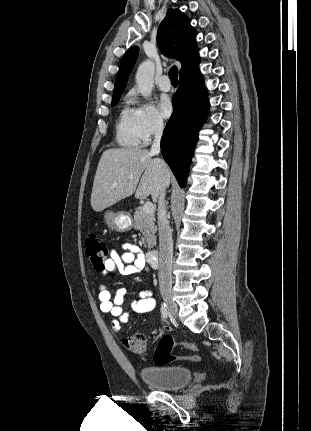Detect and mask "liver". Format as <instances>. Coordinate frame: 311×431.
Here are the masks:
<instances>
[{"label": "liver", "mask_w": 311, "mask_h": 431, "mask_svg": "<svg viewBox=\"0 0 311 431\" xmlns=\"http://www.w3.org/2000/svg\"><path fill=\"white\" fill-rule=\"evenodd\" d=\"M163 182L170 184L171 170L149 150L110 148L103 152L97 166L90 198L92 210L102 212L133 194L137 200L151 196L152 202H157Z\"/></svg>", "instance_id": "liver-1"}]
</instances>
